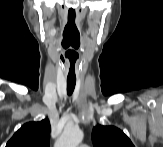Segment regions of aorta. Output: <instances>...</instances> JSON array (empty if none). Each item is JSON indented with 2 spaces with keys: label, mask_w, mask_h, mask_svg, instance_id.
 <instances>
[{
  "label": "aorta",
  "mask_w": 163,
  "mask_h": 147,
  "mask_svg": "<svg viewBox=\"0 0 163 147\" xmlns=\"http://www.w3.org/2000/svg\"><path fill=\"white\" fill-rule=\"evenodd\" d=\"M83 139V133L79 128L67 127L57 140L55 147H77Z\"/></svg>",
  "instance_id": "1"
}]
</instances>
